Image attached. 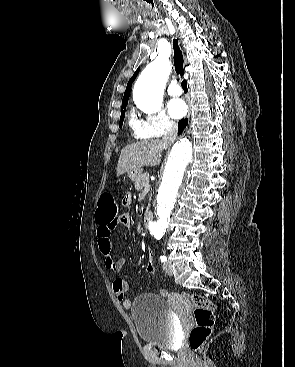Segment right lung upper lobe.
<instances>
[{
	"label": "right lung upper lobe",
	"instance_id": "cb5924a9",
	"mask_svg": "<svg viewBox=\"0 0 295 367\" xmlns=\"http://www.w3.org/2000/svg\"><path fill=\"white\" fill-rule=\"evenodd\" d=\"M139 73V68L136 70V72L134 73V75L131 77V79L129 80L128 84H127V87H126V90H125V93H124V97L122 99V105H125L128 103V99H129V96H130V90H131V85L133 83V81L135 80L136 76L138 75Z\"/></svg>",
	"mask_w": 295,
	"mask_h": 367
}]
</instances>
